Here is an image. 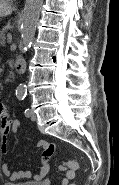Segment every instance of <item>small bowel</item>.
I'll use <instances>...</instances> for the list:
<instances>
[{"label":"small bowel","instance_id":"1","mask_svg":"<svg viewBox=\"0 0 119 185\" xmlns=\"http://www.w3.org/2000/svg\"><path fill=\"white\" fill-rule=\"evenodd\" d=\"M0 119H1V152L3 155L9 154V136L17 132L20 121L16 118L10 117L8 110L5 104L0 103ZM38 148H41L42 153V162L40 170L34 176L30 170L23 171H13L7 163L2 165V171L4 175L9 178L11 181H16L20 179H28L33 177L35 181L45 180V185H52L49 180H46L47 174L50 168V160L55 151V145L46 140H39L36 143ZM79 168L77 161H71L68 164L60 166V170L65 172L64 178L61 179L58 185H72L69 184V181L74 179L76 176V171Z\"/></svg>","mask_w":119,"mask_h":185}]
</instances>
